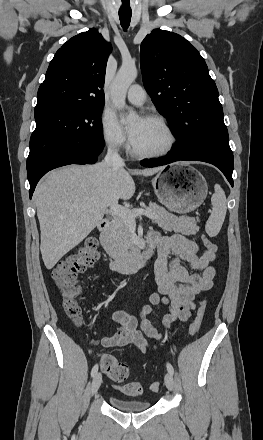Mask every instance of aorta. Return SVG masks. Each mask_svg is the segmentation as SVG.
I'll return each mask as SVG.
<instances>
[{
	"label": "aorta",
	"mask_w": 263,
	"mask_h": 440,
	"mask_svg": "<svg viewBox=\"0 0 263 440\" xmlns=\"http://www.w3.org/2000/svg\"><path fill=\"white\" fill-rule=\"evenodd\" d=\"M137 77V68L134 64H122L115 79L111 84V100L115 107L124 109L126 106V93L129 86ZM135 113H129L123 122H131L136 119Z\"/></svg>",
	"instance_id": "1"
}]
</instances>
